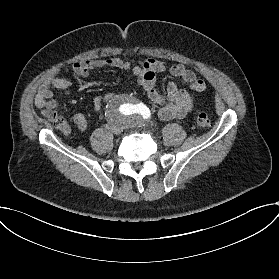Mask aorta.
<instances>
[{
	"instance_id": "aorta-1",
	"label": "aorta",
	"mask_w": 279,
	"mask_h": 279,
	"mask_svg": "<svg viewBox=\"0 0 279 279\" xmlns=\"http://www.w3.org/2000/svg\"><path fill=\"white\" fill-rule=\"evenodd\" d=\"M132 104L130 103L128 97H118L110 105V111L113 113H123L129 114Z\"/></svg>"
}]
</instances>
